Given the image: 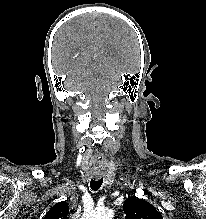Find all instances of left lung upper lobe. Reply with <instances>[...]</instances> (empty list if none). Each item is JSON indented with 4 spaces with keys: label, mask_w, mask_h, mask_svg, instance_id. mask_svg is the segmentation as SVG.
<instances>
[{
    "label": "left lung upper lobe",
    "mask_w": 206,
    "mask_h": 219,
    "mask_svg": "<svg viewBox=\"0 0 206 219\" xmlns=\"http://www.w3.org/2000/svg\"><path fill=\"white\" fill-rule=\"evenodd\" d=\"M123 211L126 214L125 219H163L152 204L134 197L125 200Z\"/></svg>",
    "instance_id": "obj_1"
}]
</instances>
